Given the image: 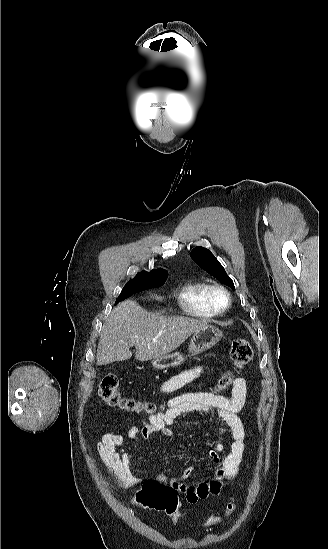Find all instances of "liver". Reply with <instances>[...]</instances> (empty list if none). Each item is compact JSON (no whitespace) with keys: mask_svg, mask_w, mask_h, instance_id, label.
Wrapping results in <instances>:
<instances>
[{"mask_svg":"<svg viewBox=\"0 0 328 549\" xmlns=\"http://www.w3.org/2000/svg\"><path fill=\"white\" fill-rule=\"evenodd\" d=\"M206 325L208 321L203 319L162 317L160 313L145 311L135 301H122L103 325L96 363L127 361L132 357L130 347H135L137 361L159 359Z\"/></svg>","mask_w":328,"mask_h":549,"instance_id":"obj_1","label":"liver"}]
</instances>
